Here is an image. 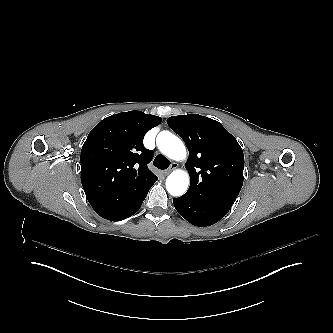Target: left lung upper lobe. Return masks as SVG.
Masks as SVG:
<instances>
[{
    "label": "left lung upper lobe",
    "mask_w": 333,
    "mask_h": 333,
    "mask_svg": "<svg viewBox=\"0 0 333 333\" xmlns=\"http://www.w3.org/2000/svg\"><path fill=\"white\" fill-rule=\"evenodd\" d=\"M168 126L184 140L190 187L184 194L201 201L232 206L243 185L244 155L221 123L197 114L172 116Z\"/></svg>",
    "instance_id": "obj_1"
}]
</instances>
